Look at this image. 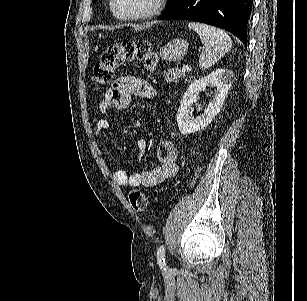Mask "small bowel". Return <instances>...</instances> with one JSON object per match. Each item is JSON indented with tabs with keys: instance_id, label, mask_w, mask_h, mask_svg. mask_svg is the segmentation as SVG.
I'll list each match as a JSON object with an SVG mask.
<instances>
[{
	"instance_id": "small-bowel-1",
	"label": "small bowel",
	"mask_w": 307,
	"mask_h": 301,
	"mask_svg": "<svg viewBox=\"0 0 307 301\" xmlns=\"http://www.w3.org/2000/svg\"><path fill=\"white\" fill-rule=\"evenodd\" d=\"M133 96L151 99L156 96V89L150 83L138 77H119L112 83V86L100 101L99 111L101 114H106L111 108L129 109L132 107ZM108 129L109 121L105 118L99 119L96 124V137H104ZM136 150L140 158L145 155L147 143L144 139L136 142ZM157 155L160 164L155 168L132 173H127L122 169L116 170L113 173L115 183L119 186H144L150 188L174 176L178 170V153L174 142L171 140L162 141L158 147Z\"/></svg>"
}]
</instances>
